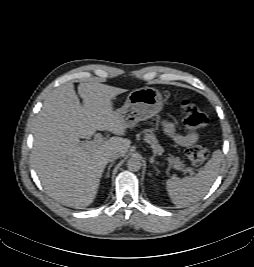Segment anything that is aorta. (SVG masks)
Returning a JSON list of instances; mask_svg holds the SVG:
<instances>
[{
    "instance_id": "aorta-1",
    "label": "aorta",
    "mask_w": 254,
    "mask_h": 267,
    "mask_svg": "<svg viewBox=\"0 0 254 267\" xmlns=\"http://www.w3.org/2000/svg\"><path fill=\"white\" fill-rule=\"evenodd\" d=\"M142 163L138 157L132 156L127 161V168L132 172H137L140 170Z\"/></svg>"
}]
</instances>
